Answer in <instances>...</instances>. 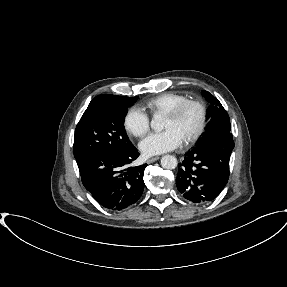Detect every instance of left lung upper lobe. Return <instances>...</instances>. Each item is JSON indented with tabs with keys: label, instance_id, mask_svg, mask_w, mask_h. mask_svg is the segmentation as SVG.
<instances>
[{
	"label": "left lung upper lobe",
	"instance_id": "1",
	"mask_svg": "<svg viewBox=\"0 0 287 287\" xmlns=\"http://www.w3.org/2000/svg\"><path fill=\"white\" fill-rule=\"evenodd\" d=\"M202 95L211 105L207 110L208 124L206 132L196 148L210 144L219 137L230 133L231 130L230 118L219 100L207 91H202Z\"/></svg>",
	"mask_w": 287,
	"mask_h": 287
}]
</instances>
